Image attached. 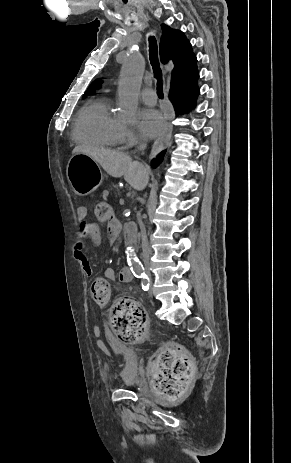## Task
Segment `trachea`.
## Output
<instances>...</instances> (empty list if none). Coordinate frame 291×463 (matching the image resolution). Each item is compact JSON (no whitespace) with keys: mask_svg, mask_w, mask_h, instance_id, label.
Returning a JSON list of instances; mask_svg holds the SVG:
<instances>
[{"mask_svg":"<svg viewBox=\"0 0 291 463\" xmlns=\"http://www.w3.org/2000/svg\"><path fill=\"white\" fill-rule=\"evenodd\" d=\"M149 58L153 68L154 76L157 79V93L163 98L162 70L158 60V47L155 37H149Z\"/></svg>","mask_w":291,"mask_h":463,"instance_id":"3493384b","label":"trachea"}]
</instances>
